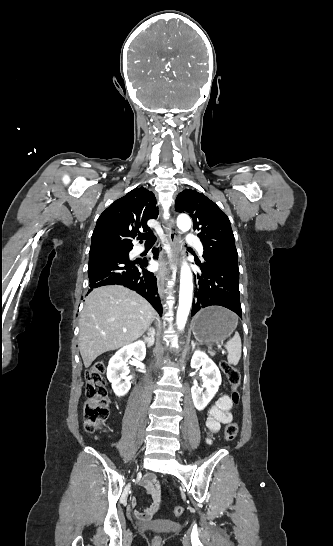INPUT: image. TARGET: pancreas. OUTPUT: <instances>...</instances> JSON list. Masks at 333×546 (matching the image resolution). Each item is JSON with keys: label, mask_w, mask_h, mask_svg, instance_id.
I'll return each mask as SVG.
<instances>
[{"label": "pancreas", "mask_w": 333, "mask_h": 546, "mask_svg": "<svg viewBox=\"0 0 333 546\" xmlns=\"http://www.w3.org/2000/svg\"><path fill=\"white\" fill-rule=\"evenodd\" d=\"M210 354H211L212 356H213V355H215V353H214V352H212V351H210Z\"/></svg>", "instance_id": "cf45deb5"}]
</instances>
